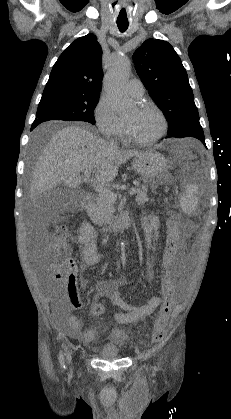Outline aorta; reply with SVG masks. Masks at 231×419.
<instances>
[{
    "instance_id": "obj_1",
    "label": "aorta",
    "mask_w": 231,
    "mask_h": 419,
    "mask_svg": "<svg viewBox=\"0 0 231 419\" xmlns=\"http://www.w3.org/2000/svg\"><path fill=\"white\" fill-rule=\"evenodd\" d=\"M130 73V60L120 57L105 76L104 88L111 101L112 107L118 113L130 107V99L126 92V83ZM122 257L124 246H121Z\"/></svg>"
}]
</instances>
